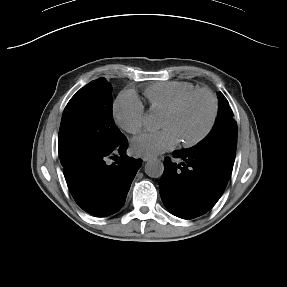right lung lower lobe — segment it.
<instances>
[{"instance_id":"obj_1","label":"right lung lower lobe","mask_w":287,"mask_h":287,"mask_svg":"<svg viewBox=\"0 0 287 287\" xmlns=\"http://www.w3.org/2000/svg\"><path fill=\"white\" fill-rule=\"evenodd\" d=\"M126 137L115 147L81 157L64 167L68 188L76 203L86 212L104 217L124 204L141 159L126 155ZM119 161L110 164L108 158Z\"/></svg>"}]
</instances>
